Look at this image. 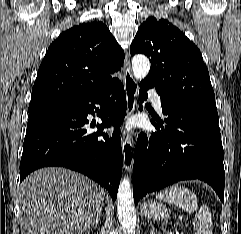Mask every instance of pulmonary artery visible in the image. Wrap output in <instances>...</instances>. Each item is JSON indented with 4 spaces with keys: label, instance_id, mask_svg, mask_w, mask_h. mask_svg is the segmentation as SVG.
I'll use <instances>...</instances> for the list:
<instances>
[{
    "label": "pulmonary artery",
    "instance_id": "e3ab8cb5",
    "mask_svg": "<svg viewBox=\"0 0 241 234\" xmlns=\"http://www.w3.org/2000/svg\"><path fill=\"white\" fill-rule=\"evenodd\" d=\"M150 97H151V101L153 103L154 108L161 112L162 108H161V97L159 96V94L155 91V90H150Z\"/></svg>",
    "mask_w": 241,
    "mask_h": 234
}]
</instances>
